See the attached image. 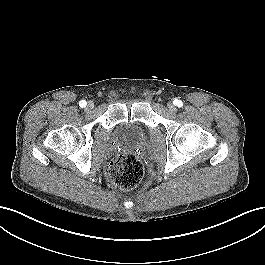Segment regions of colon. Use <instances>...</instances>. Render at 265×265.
Here are the masks:
<instances>
[{
	"label": "colon",
	"mask_w": 265,
	"mask_h": 265,
	"mask_svg": "<svg viewBox=\"0 0 265 265\" xmlns=\"http://www.w3.org/2000/svg\"><path fill=\"white\" fill-rule=\"evenodd\" d=\"M108 174L110 180L119 188L130 189L136 186L143 176V166L132 153L123 152L112 159Z\"/></svg>",
	"instance_id": "5ec220e1"
}]
</instances>
